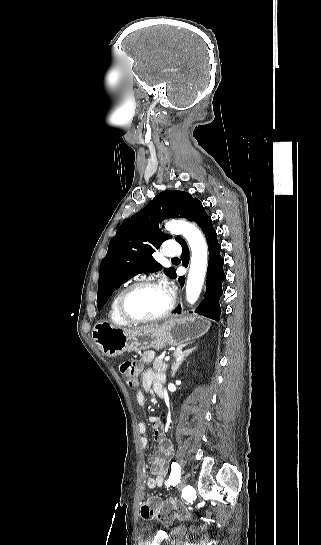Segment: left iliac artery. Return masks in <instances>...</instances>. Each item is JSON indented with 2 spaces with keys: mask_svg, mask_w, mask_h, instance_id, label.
Here are the masks:
<instances>
[{
  "mask_svg": "<svg viewBox=\"0 0 321 545\" xmlns=\"http://www.w3.org/2000/svg\"><path fill=\"white\" fill-rule=\"evenodd\" d=\"M171 474L169 479L165 482V486H170L172 483L177 482L180 480L181 475V469L177 462H173L171 466Z\"/></svg>",
  "mask_w": 321,
  "mask_h": 545,
  "instance_id": "left-iliac-artery-1",
  "label": "left iliac artery"
}]
</instances>
